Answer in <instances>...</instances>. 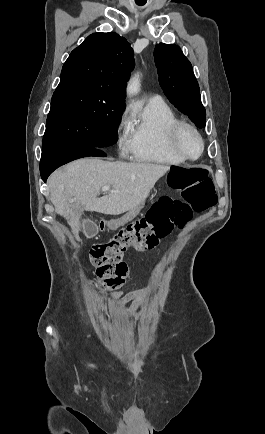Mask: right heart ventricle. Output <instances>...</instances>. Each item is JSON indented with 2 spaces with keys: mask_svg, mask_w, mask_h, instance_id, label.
<instances>
[{
  "mask_svg": "<svg viewBox=\"0 0 265 434\" xmlns=\"http://www.w3.org/2000/svg\"><path fill=\"white\" fill-rule=\"evenodd\" d=\"M147 100L131 115L129 154L131 160L166 166H180L185 162L173 150L170 136L179 121L173 109L161 98Z\"/></svg>",
  "mask_w": 265,
  "mask_h": 434,
  "instance_id": "1",
  "label": "right heart ventricle"
}]
</instances>
